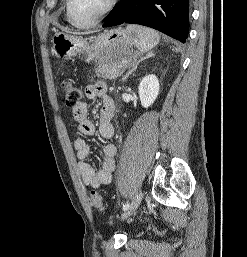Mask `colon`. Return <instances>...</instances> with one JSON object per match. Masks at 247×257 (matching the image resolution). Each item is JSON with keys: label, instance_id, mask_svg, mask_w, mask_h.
I'll return each instance as SVG.
<instances>
[{"label": "colon", "instance_id": "colon-1", "mask_svg": "<svg viewBox=\"0 0 247 257\" xmlns=\"http://www.w3.org/2000/svg\"><path fill=\"white\" fill-rule=\"evenodd\" d=\"M64 101L67 106H75L80 102L83 92L80 86L73 81L65 80L61 84ZM91 202L93 207L98 211L104 210V200L100 194L95 191L91 192Z\"/></svg>", "mask_w": 247, "mask_h": 257}]
</instances>
